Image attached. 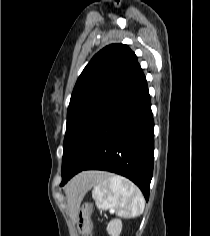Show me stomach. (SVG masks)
I'll list each match as a JSON object with an SVG mask.
<instances>
[{
  "label": "stomach",
  "mask_w": 210,
  "mask_h": 236,
  "mask_svg": "<svg viewBox=\"0 0 210 236\" xmlns=\"http://www.w3.org/2000/svg\"><path fill=\"white\" fill-rule=\"evenodd\" d=\"M92 207L89 204L83 205L77 218V229L82 236H89L93 230V222L91 220Z\"/></svg>",
  "instance_id": "1"
}]
</instances>
